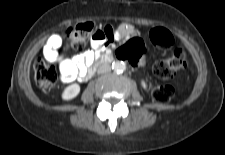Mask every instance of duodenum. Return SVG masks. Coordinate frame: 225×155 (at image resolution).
Returning <instances> with one entry per match:
<instances>
[{"label":"duodenum","instance_id":"410a0bca","mask_svg":"<svg viewBox=\"0 0 225 155\" xmlns=\"http://www.w3.org/2000/svg\"><path fill=\"white\" fill-rule=\"evenodd\" d=\"M113 60H114V57L110 54L100 56L95 62V65L88 70L86 74V79H89L90 77H92L96 66L111 63Z\"/></svg>","mask_w":225,"mask_h":155}]
</instances>
